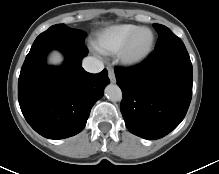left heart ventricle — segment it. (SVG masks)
I'll use <instances>...</instances> for the list:
<instances>
[{
  "label": "left heart ventricle",
  "instance_id": "b2bd125f",
  "mask_svg": "<svg viewBox=\"0 0 219 174\" xmlns=\"http://www.w3.org/2000/svg\"><path fill=\"white\" fill-rule=\"evenodd\" d=\"M150 39H151V34L149 31L146 30L141 31L133 42L132 52L138 53L144 50L149 44Z\"/></svg>",
  "mask_w": 219,
  "mask_h": 174
}]
</instances>
